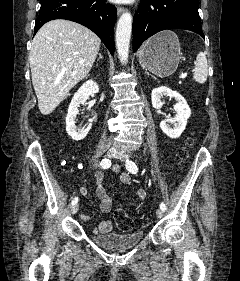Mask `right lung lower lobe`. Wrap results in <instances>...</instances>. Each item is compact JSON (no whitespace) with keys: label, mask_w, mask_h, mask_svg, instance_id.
Masks as SVG:
<instances>
[{"label":"right lung lower lobe","mask_w":240,"mask_h":281,"mask_svg":"<svg viewBox=\"0 0 240 281\" xmlns=\"http://www.w3.org/2000/svg\"><path fill=\"white\" fill-rule=\"evenodd\" d=\"M40 4L34 34L50 20H71L91 29L113 55V29L117 9L106 3V0H40Z\"/></svg>","instance_id":"1"}]
</instances>
